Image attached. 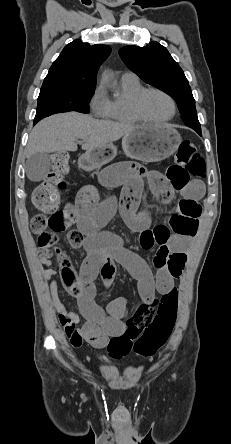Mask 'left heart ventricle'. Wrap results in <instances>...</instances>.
<instances>
[{"label":"left heart ventricle","instance_id":"1","mask_svg":"<svg viewBox=\"0 0 231 444\" xmlns=\"http://www.w3.org/2000/svg\"><path fill=\"white\" fill-rule=\"evenodd\" d=\"M144 113L155 120L165 119L172 113L170 101L159 93H149L142 102Z\"/></svg>","mask_w":231,"mask_h":444}]
</instances>
